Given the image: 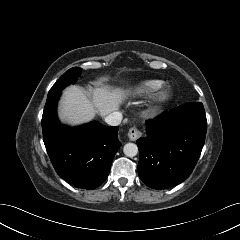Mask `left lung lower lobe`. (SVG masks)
<instances>
[{"instance_id":"obj_1","label":"left lung lower lobe","mask_w":240,"mask_h":240,"mask_svg":"<svg viewBox=\"0 0 240 240\" xmlns=\"http://www.w3.org/2000/svg\"><path fill=\"white\" fill-rule=\"evenodd\" d=\"M207 131L201 102H189L146 122V137L137 140L138 174L153 189L186 180L203 148Z\"/></svg>"}]
</instances>
